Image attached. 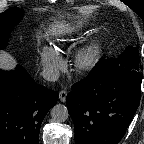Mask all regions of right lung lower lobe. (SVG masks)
I'll list each match as a JSON object with an SVG mask.
<instances>
[{
  "label": "right lung lower lobe",
  "instance_id": "98d812e1",
  "mask_svg": "<svg viewBox=\"0 0 144 144\" xmlns=\"http://www.w3.org/2000/svg\"><path fill=\"white\" fill-rule=\"evenodd\" d=\"M57 99L22 66L0 70V144H39L41 123Z\"/></svg>",
  "mask_w": 144,
  "mask_h": 144
}]
</instances>
